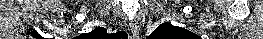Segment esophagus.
I'll return each mask as SVG.
<instances>
[{"label":"esophagus","mask_w":263,"mask_h":39,"mask_svg":"<svg viewBox=\"0 0 263 39\" xmlns=\"http://www.w3.org/2000/svg\"><path fill=\"white\" fill-rule=\"evenodd\" d=\"M130 29H131L133 38L134 39H139V31H140V29H139L138 22L136 20H132L130 22Z\"/></svg>","instance_id":"34e87169"}]
</instances>
